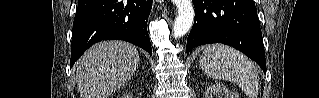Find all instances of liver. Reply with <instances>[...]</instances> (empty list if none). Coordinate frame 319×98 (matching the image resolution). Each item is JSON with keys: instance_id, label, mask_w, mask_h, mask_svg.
Masks as SVG:
<instances>
[{"instance_id": "6515ba94", "label": "liver", "mask_w": 319, "mask_h": 98, "mask_svg": "<svg viewBox=\"0 0 319 98\" xmlns=\"http://www.w3.org/2000/svg\"><path fill=\"white\" fill-rule=\"evenodd\" d=\"M138 63V50L132 44L123 41L95 44L74 66L80 98H108L132 78Z\"/></svg>"}]
</instances>
